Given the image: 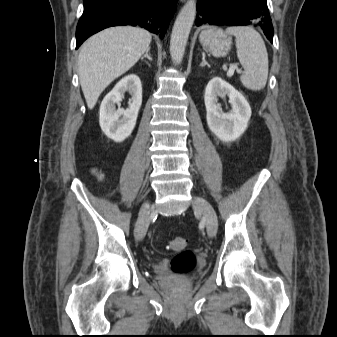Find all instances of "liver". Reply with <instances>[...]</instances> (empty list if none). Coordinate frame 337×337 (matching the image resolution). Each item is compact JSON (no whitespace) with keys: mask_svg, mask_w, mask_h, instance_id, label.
<instances>
[{"mask_svg":"<svg viewBox=\"0 0 337 337\" xmlns=\"http://www.w3.org/2000/svg\"><path fill=\"white\" fill-rule=\"evenodd\" d=\"M151 39L145 29L118 26L97 33L82 45L78 71L89 109L94 108L100 94L114 79L137 63Z\"/></svg>","mask_w":337,"mask_h":337,"instance_id":"obj_1","label":"liver"}]
</instances>
